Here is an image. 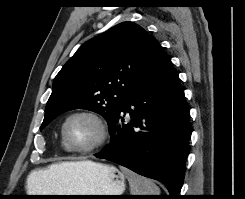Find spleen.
Here are the masks:
<instances>
[{
	"mask_svg": "<svg viewBox=\"0 0 245 199\" xmlns=\"http://www.w3.org/2000/svg\"><path fill=\"white\" fill-rule=\"evenodd\" d=\"M120 169L129 181L131 195H160V189L152 180L127 168L120 167Z\"/></svg>",
	"mask_w": 245,
	"mask_h": 199,
	"instance_id": "3e777b00",
	"label": "spleen"
}]
</instances>
